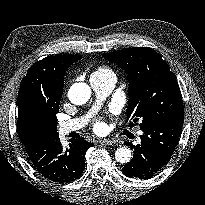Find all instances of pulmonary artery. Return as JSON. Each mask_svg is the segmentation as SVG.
<instances>
[{"instance_id":"obj_1","label":"pulmonary artery","mask_w":205,"mask_h":205,"mask_svg":"<svg viewBox=\"0 0 205 205\" xmlns=\"http://www.w3.org/2000/svg\"><path fill=\"white\" fill-rule=\"evenodd\" d=\"M116 81L117 78L114 73L92 75L90 77L91 87L97 96V102L91 113H93L99 107L101 102L113 91ZM87 120L88 116L63 121L59 124V132L60 134L65 135L70 132L77 131L85 125Z\"/></svg>"}]
</instances>
